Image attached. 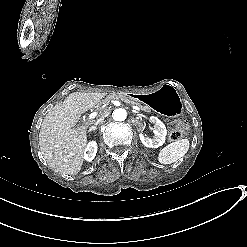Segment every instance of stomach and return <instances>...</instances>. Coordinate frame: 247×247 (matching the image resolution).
I'll use <instances>...</instances> for the list:
<instances>
[{
  "mask_svg": "<svg viewBox=\"0 0 247 247\" xmlns=\"http://www.w3.org/2000/svg\"><path fill=\"white\" fill-rule=\"evenodd\" d=\"M134 97L164 116L176 117L183 110L182 100L169 85H163L153 92L134 95Z\"/></svg>",
  "mask_w": 247,
  "mask_h": 247,
  "instance_id": "stomach-1",
  "label": "stomach"
}]
</instances>
